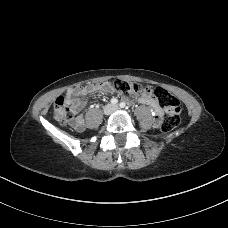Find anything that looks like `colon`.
Here are the masks:
<instances>
[{
	"instance_id": "5ec220e1",
	"label": "colon",
	"mask_w": 228,
	"mask_h": 228,
	"mask_svg": "<svg viewBox=\"0 0 228 228\" xmlns=\"http://www.w3.org/2000/svg\"><path fill=\"white\" fill-rule=\"evenodd\" d=\"M103 84L126 96H138L151 92L147 86L137 82L116 80ZM94 86L96 87L97 84H94ZM153 93L158 99L160 105L167 111V115L161 124V129L163 132L168 133L174 130L180 123L181 108L178 99L163 87H156L153 90ZM54 118L60 123H70L75 121V111L65 101L64 97H58L55 100Z\"/></svg>"
}]
</instances>
